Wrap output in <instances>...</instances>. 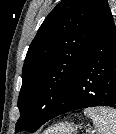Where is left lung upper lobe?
I'll return each mask as SVG.
<instances>
[{
	"mask_svg": "<svg viewBox=\"0 0 116 134\" xmlns=\"http://www.w3.org/2000/svg\"><path fill=\"white\" fill-rule=\"evenodd\" d=\"M111 15L107 0H62L33 39L22 70L16 132H34L74 90L73 81Z\"/></svg>",
	"mask_w": 116,
	"mask_h": 134,
	"instance_id": "left-lung-upper-lobe-1",
	"label": "left lung upper lobe"
}]
</instances>
